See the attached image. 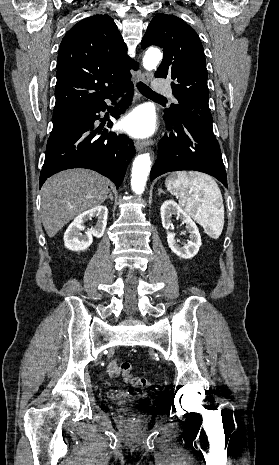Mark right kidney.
Returning <instances> with one entry per match:
<instances>
[{
  "mask_svg": "<svg viewBox=\"0 0 279 465\" xmlns=\"http://www.w3.org/2000/svg\"><path fill=\"white\" fill-rule=\"evenodd\" d=\"M94 216L98 218L96 226L82 234L81 231L85 229L84 223ZM107 216L106 206H96L79 214L64 234L65 247L72 251L86 250L92 244L93 236L96 238L103 236L107 225Z\"/></svg>",
  "mask_w": 279,
  "mask_h": 465,
  "instance_id": "ca27d5eb",
  "label": "right kidney"
}]
</instances>
